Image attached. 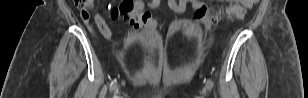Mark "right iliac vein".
Wrapping results in <instances>:
<instances>
[{"label": "right iliac vein", "mask_w": 308, "mask_h": 98, "mask_svg": "<svg viewBox=\"0 0 308 98\" xmlns=\"http://www.w3.org/2000/svg\"><path fill=\"white\" fill-rule=\"evenodd\" d=\"M111 91H113L114 93H116L118 91V86L116 85Z\"/></svg>", "instance_id": "right-iliac-vein-1"}]
</instances>
